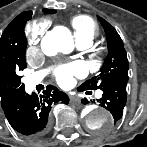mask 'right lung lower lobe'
<instances>
[{
  "label": "right lung lower lobe",
  "mask_w": 147,
  "mask_h": 147,
  "mask_svg": "<svg viewBox=\"0 0 147 147\" xmlns=\"http://www.w3.org/2000/svg\"><path fill=\"white\" fill-rule=\"evenodd\" d=\"M59 101L68 104L67 94L49 85L40 97L24 92L3 104L2 109L14 130L25 136L38 137L48 130L51 105Z\"/></svg>",
  "instance_id": "1"
}]
</instances>
